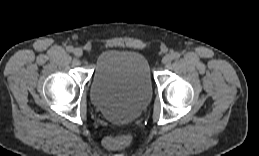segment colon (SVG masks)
Listing matches in <instances>:
<instances>
[{"mask_svg": "<svg viewBox=\"0 0 259 156\" xmlns=\"http://www.w3.org/2000/svg\"><path fill=\"white\" fill-rule=\"evenodd\" d=\"M132 135L129 133L118 135V136H109L105 138L104 145L108 149H119L129 145L132 142Z\"/></svg>", "mask_w": 259, "mask_h": 156, "instance_id": "colon-1", "label": "colon"}]
</instances>
